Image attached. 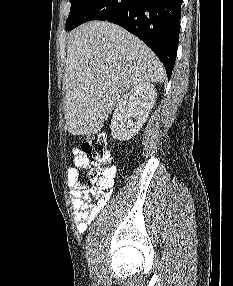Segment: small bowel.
<instances>
[{"instance_id":"c3829d8e","label":"small bowel","mask_w":233,"mask_h":286,"mask_svg":"<svg viewBox=\"0 0 233 286\" xmlns=\"http://www.w3.org/2000/svg\"><path fill=\"white\" fill-rule=\"evenodd\" d=\"M74 155V167L68 169L67 181L73 217L78 231L84 233L87 225L106 206L110 193L90 188L81 181L80 169L88 170L94 163L79 149L74 150ZM112 169L115 175L116 168L112 166Z\"/></svg>"}]
</instances>
